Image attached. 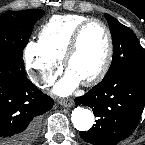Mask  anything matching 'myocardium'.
I'll use <instances>...</instances> for the list:
<instances>
[{"label":"myocardium","instance_id":"obj_1","mask_svg":"<svg viewBox=\"0 0 145 145\" xmlns=\"http://www.w3.org/2000/svg\"><path fill=\"white\" fill-rule=\"evenodd\" d=\"M92 23H97L103 28L107 37V51L100 68L92 76L84 80H81L82 84L86 86H92L98 83L99 81H101L104 78V76L107 74L111 66L113 54H114V42L109 27L102 20L97 18H89L85 20L75 29L71 37V40L68 44V47L65 51V54L63 56V66L68 71L70 62L79 48V43H80L82 33L84 29Z\"/></svg>","mask_w":145,"mask_h":145}]
</instances>
